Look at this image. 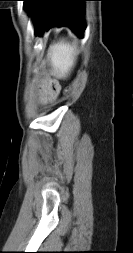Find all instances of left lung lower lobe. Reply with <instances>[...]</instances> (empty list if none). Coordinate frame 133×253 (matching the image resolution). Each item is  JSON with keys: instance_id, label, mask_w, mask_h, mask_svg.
<instances>
[{"instance_id": "left-lung-lower-lobe-1", "label": "left lung lower lobe", "mask_w": 133, "mask_h": 253, "mask_svg": "<svg viewBox=\"0 0 133 253\" xmlns=\"http://www.w3.org/2000/svg\"><path fill=\"white\" fill-rule=\"evenodd\" d=\"M34 22L36 34L53 26H69L83 37L84 2L89 0H23Z\"/></svg>"}]
</instances>
